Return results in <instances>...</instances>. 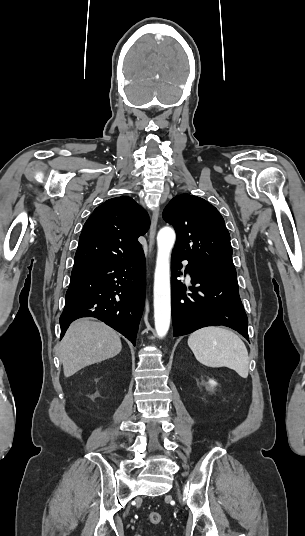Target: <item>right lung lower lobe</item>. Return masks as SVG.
I'll list each match as a JSON object with an SVG mask.
<instances>
[{
	"label": "right lung lower lobe",
	"instance_id": "obj_1",
	"mask_svg": "<svg viewBox=\"0 0 305 536\" xmlns=\"http://www.w3.org/2000/svg\"><path fill=\"white\" fill-rule=\"evenodd\" d=\"M145 272L144 253L72 272L60 317L61 338L72 321L92 316L135 345L145 302Z\"/></svg>",
	"mask_w": 305,
	"mask_h": 536
}]
</instances>
